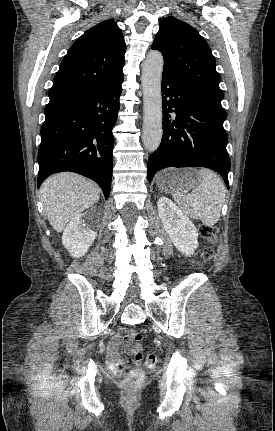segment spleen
Masks as SVG:
<instances>
[{
    "label": "spleen",
    "mask_w": 275,
    "mask_h": 431,
    "mask_svg": "<svg viewBox=\"0 0 275 431\" xmlns=\"http://www.w3.org/2000/svg\"><path fill=\"white\" fill-rule=\"evenodd\" d=\"M200 183L193 188L191 195L173 192L174 201L192 219H200L206 226H214L225 201V186L216 173L209 169L197 171Z\"/></svg>",
    "instance_id": "spleen-1"
}]
</instances>
